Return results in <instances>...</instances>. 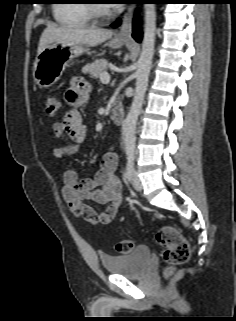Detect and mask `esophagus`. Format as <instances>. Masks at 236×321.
<instances>
[{"instance_id": "34e87169", "label": "esophagus", "mask_w": 236, "mask_h": 321, "mask_svg": "<svg viewBox=\"0 0 236 321\" xmlns=\"http://www.w3.org/2000/svg\"><path fill=\"white\" fill-rule=\"evenodd\" d=\"M134 9H135V6L131 5L128 7L127 11L125 12L120 30L115 36L117 39L124 40V39H129L131 37Z\"/></svg>"}]
</instances>
